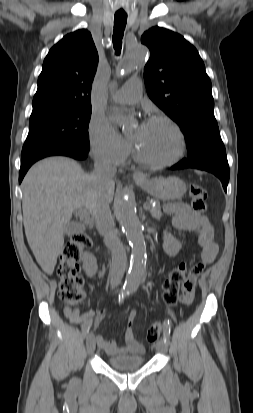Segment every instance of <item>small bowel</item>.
<instances>
[{"instance_id": "1", "label": "small bowel", "mask_w": 253, "mask_h": 413, "mask_svg": "<svg viewBox=\"0 0 253 413\" xmlns=\"http://www.w3.org/2000/svg\"><path fill=\"white\" fill-rule=\"evenodd\" d=\"M165 210L173 214V225L176 229L187 232H196L200 230L198 243L202 248L201 262L195 265L190 273H185L179 285L180 302L185 308H190L196 294V281L206 265L211 264L217 254L218 245L213 240V231L209 223H204L202 219L185 203L176 202L166 205ZM163 247L169 256H177L184 251L185 246L182 242L172 237L169 233L163 234ZM65 316L68 320L80 325L82 330L88 326L91 327L95 320V314L92 311H87L80 314L76 308H65ZM104 315V311H100V316ZM135 313L132 312L129 316L128 323L125 329L124 338L126 341L125 347H120L113 340H107L103 336L98 335L95 338L97 345L103 349L108 355L115 356L126 353L142 354L145 351L144 346L137 340L133 332V323Z\"/></svg>"}]
</instances>
